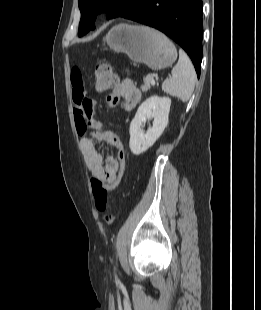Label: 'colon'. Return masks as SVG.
<instances>
[{
  "label": "colon",
  "instance_id": "colon-1",
  "mask_svg": "<svg viewBox=\"0 0 261 310\" xmlns=\"http://www.w3.org/2000/svg\"><path fill=\"white\" fill-rule=\"evenodd\" d=\"M116 81L110 67L106 64H100L95 69L94 73V88L97 92H105L112 88ZM113 146L116 151V156L119 164L118 174L115 180L111 183L104 182L98 178H92L91 186L94 196L95 206L99 211H105L108 203V192L115 189L123 176L126 165V154L122 143L119 140H114ZM107 223H112L113 217L105 215Z\"/></svg>",
  "mask_w": 261,
  "mask_h": 310
}]
</instances>
